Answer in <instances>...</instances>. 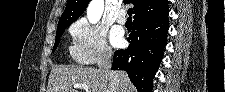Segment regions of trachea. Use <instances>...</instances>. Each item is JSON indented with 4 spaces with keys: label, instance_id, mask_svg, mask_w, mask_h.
<instances>
[{
    "label": "trachea",
    "instance_id": "obj_1",
    "mask_svg": "<svg viewBox=\"0 0 225 92\" xmlns=\"http://www.w3.org/2000/svg\"><path fill=\"white\" fill-rule=\"evenodd\" d=\"M127 13H128V19H130L131 18V16H132V14H133V9L132 8H129L128 9V11H127Z\"/></svg>",
    "mask_w": 225,
    "mask_h": 92
}]
</instances>
